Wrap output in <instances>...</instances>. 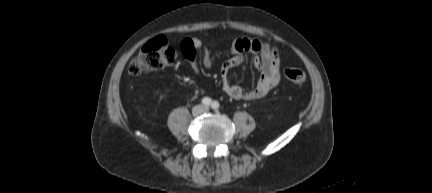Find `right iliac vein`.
Here are the masks:
<instances>
[{"label":"right iliac vein","instance_id":"63e3f726","mask_svg":"<svg viewBox=\"0 0 432 193\" xmlns=\"http://www.w3.org/2000/svg\"><path fill=\"white\" fill-rule=\"evenodd\" d=\"M202 111H203V110H202L201 107H196V108L193 110V114H194L195 116H197V115L201 114Z\"/></svg>","mask_w":432,"mask_h":193}]
</instances>
